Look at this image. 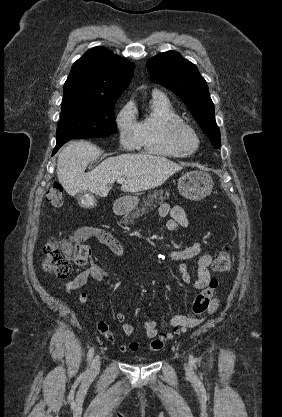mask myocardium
Here are the masks:
<instances>
[{"label":"myocardium","instance_id":"myocardium-1","mask_svg":"<svg viewBox=\"0 0 282 417\" xmlns=\"http://www.w3.org/2000/svg\"><path fill=\"white\" fill-rule=\"evenodd\" d=\"M167 121L169 128L167 137L170 143L181 153L191 154L193 149L186 145L185 140L191 137L197 142V135L194 130L179 119H167Z\"/></svg>","mask_w":282,"mask_h":417}]
</instances>
